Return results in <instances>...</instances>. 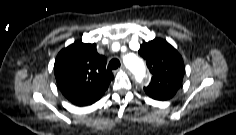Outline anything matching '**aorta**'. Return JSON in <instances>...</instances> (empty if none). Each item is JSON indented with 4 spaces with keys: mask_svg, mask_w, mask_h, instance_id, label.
I'll return each instance as SVG.
<instances>
[{
    "mask_svg": "<svg viewBox=\"0 0 236 135\" xmlns=\"http://www.w3.org/2000/svg\"><path fill=\"white\" fill-rule=\"evenodd\" d=\"M124 63L134 74L136 80L141 82L142 78L145 76V67L142 60L136 55L129 54L124 57Z\"/></svg>",
    "mask_w": 236,
    "mask_h": 135,
    "instance_id": "762f6f07",
    "label": "aorta"
}]
</instances>
